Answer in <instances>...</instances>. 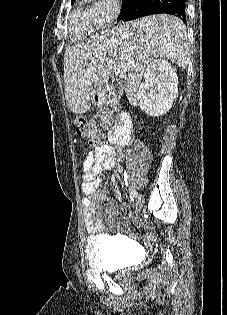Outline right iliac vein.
Returning <instances> with one entry per match:
<instances>
[{
  "label": "right iliac vein",
  "instance_id": "1",
  "mask_svg": "<svg viewBox=\"0 0 227 315\" xmlns=\"http://www.w3.org/2000/svg\"><path fill=\"white\" fill-rule=\"evenodd\" d=\"M135 205H136V210L137 211H140L142 209L143 201H142L141 196H138V198L136 199Z\"/></svg>",
  "mask_w": 227,
  "mask_h": 315
}]
</instances>
